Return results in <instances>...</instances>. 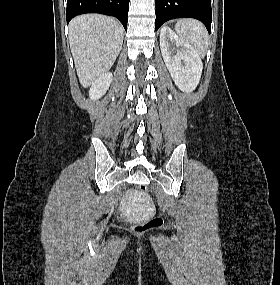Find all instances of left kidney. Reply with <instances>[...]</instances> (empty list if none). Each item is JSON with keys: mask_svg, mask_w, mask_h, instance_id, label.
Listing matches in <instances>:
<instances>
[{"mask_svg": "<svg viewBox=\"0 0 280 285\" xmlns=\"http://www.w3.org/2000/svg\"><path fill=\"white\" fill-rule=\"evenodd\" d=\"M160 48L177 87L183 92H192L199 84L203 70L198 53L167 26L160 32Z\"/></svg>", "mask_w": 280, "mask_h": 285, "instance_id": "left-kidney-1", "label": "left kidney"}]
</instances>
